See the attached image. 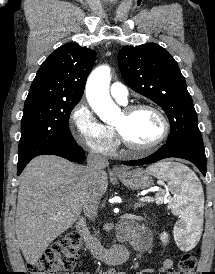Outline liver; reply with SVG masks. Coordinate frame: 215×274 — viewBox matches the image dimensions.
<instances>
[{
  "label": "liver",
  "mask_w": 215,
  "mask_h": 274,
  "mask_svg": "<svg viewBox=\"0 0 215 274\" xmlns=\"http://www.w3.org/2000/svg\"><path fill=\"white\" fill-rule=\"evenodd\" d=\"M108 176L100 178L101 196ZM89 193L86 167L43 155L31 160L20 177L15 218L18 246L35 265L45 249L80 216Z\"/></svg>",
  "instance_id": "liver-1"
}]
</instances>
